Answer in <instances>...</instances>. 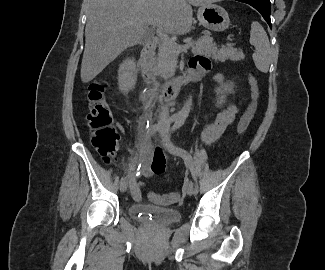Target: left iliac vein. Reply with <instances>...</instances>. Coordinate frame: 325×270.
Listing matches in <instances>:
<instances>
[{
    "mask_svg": "<svg viewBox=\"0 0 325 270\" xmlns=\"http://www.w3.org/2000/svg\"><path fill=\"white\" fill-rule=\"evenodd\" d=\"M160 135L162 138V146L171 154L177 155L173 150H172V143L169 139V134H168V126L163 127L160 130ZM194 184L192 181H190L187 184L186 191L189 196L194 194Z\"/></svg>",
    "mask_w": 325,
    "mask_h": 270,
    "instance_id": "4c4485c4",
    "label": "left iliac vein"
}]
</instances>
